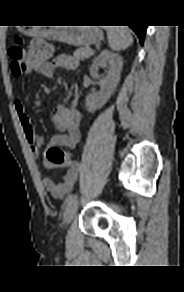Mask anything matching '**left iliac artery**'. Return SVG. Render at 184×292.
I'll return each instance as SVG.
<instances>
[{
  "label": "left iliac artery",
  "mask_w": 184,
  "mask_h": 292,
  "mask_svg": "<svg viewBox=\"0 0 184 292\" xmlns=\"http://www.w3.org/2000/svg\"><path fill=\"white\" fill-rule=\"evenodd\" d=\"M77 198H78L77 194L68 196V198L66 199L67 205H70L72 202L77 201Z\"/></svg>",
  "instance_id": "obj_1"
}]
</instances>
